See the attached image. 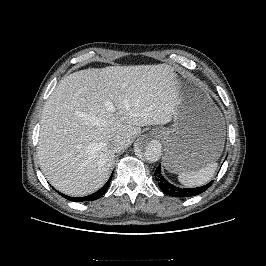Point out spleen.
I'll return each instance as SVG.
<instances>
[{
    "instance_id": "3e777b00",
    "label": "spleen",
    "mask_w": 266,
    "mask_h": 266,
    "mask_svg": "<svg viewBox=\"0 0 266 266\" xmlns=\"http://www.w3.org/2000/svg\"><path fill=\"white\" fill-rule=\"evenodd\" d=\"M217 166L218 164L216 162H212L197 171L180 173L178 180L187 187L201 186L207 183L214 176Z\"/></svg>"
}]
</instances>
